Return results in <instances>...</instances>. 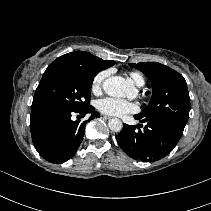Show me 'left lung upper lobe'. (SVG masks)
I'll use <instances>...</instances> for the list:
<instances>
[{
	"label": "left lung upper lobe",
	"mask_w": 211,
	"mask_h": 211,
	"mask_svg": "<svg viewBox=\"0 0 211 211\" xmlns=\"http://www.w3.org/2000/svg\"><path fill=\"white\" fill-rule=\"evenodd\" d=\"M130 65L143 72L152 83L149 105L137 115L145 119L162 118L184 129L189 118L190 97L183 76L157 62Z\"/></svg>",
	"instance_id": "left-lung-upper-lobe-1"
}]
</instances>
